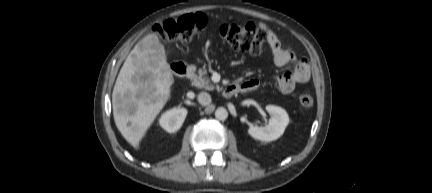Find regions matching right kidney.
Masks as SVG:
<instances>
[{
    "instance_id": "ca27d5eb",
    "label": "right kidney",
    "mask_w": 432,
    "mask_h": 193,
    "mask_svg": "<svg viewBox=\"0 0 432 193\" xmlns=\"http://www.w3.org/2000/svg\"><path fill=\"white\" fill-rule=\"evenodd\" d=\"M187 110L185 108H173L159 119L160 126L169 133L179 130L186 118Z\"/></svg>"
}]
</instances>
